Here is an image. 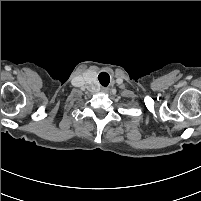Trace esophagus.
<instances>
[{
    "label": "esophagus",
    "instance_id": "34e87169",
    "mask_svg": "<svg viewBox=\"0 0 201 201\" xmlns=\"http://www.w3.org/2000/svg\"><path fill=\"white\" fill-rule=\"evenodd\" d=\"M103 91H104V92H107L108 90H107V89H104Z\"/></svg>",
    "mask_w": 201,
    "mask_h": 201
}]
</instances>
